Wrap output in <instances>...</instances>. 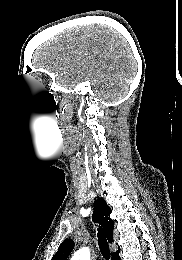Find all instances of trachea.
I'll return each instance as SVG.
<instances>
[{
    "mask_svg": "<svg viewBox=\"0 0 182 260\" xmlns=\"http://www.w3.org/2000/svg\"><path fill=\"white\" fill-rule=\"evenodd\" d=\"M97 236H98V245L100 248V252H101L103 258H105L106 260H109L110 259V249H109V244H108L107 238L102 230L98 231Z\"/></svg>",
    "mask_w": 182,
    "mask_h": 260,
    "instance_id": "3493384b",
    "label": "trachea"
}]
</instances>
